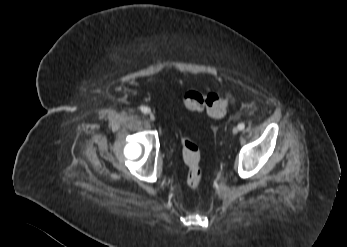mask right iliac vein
Masks as SVG:
<instances>
[{
    "label": "right iliac vein",
    "mask_w": 347,
    "mask_h": 247,
    "mask_svg": "<svg viewBox=\"0 0 347 247\" xmlns=\"http://www.w3.org/2000/svg\"><path fill=\"white\" fill-rule=\"evenodd\" d=\"M149 119H150V121H154L155 120V116L152 113H149Z\"/></svg>",
    "instance_id": "63e3f726"
}]
</instances>
